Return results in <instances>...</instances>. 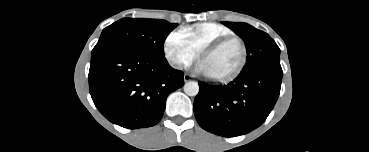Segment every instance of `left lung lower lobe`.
<instances>
[{
	"label": "left lung lower lobe",
	"instance_id": "0a47b994",
	"mask_svg": "<svg viewBox=\"0 0 369 152\" xmlns=\"http://www.w3.org/2000/svg\"><path fill=\"white\" fill-rule=\"evenodd\" d=\"M282 71H259L238 76L227 85L199 83L194 114L199 125L213 134L234 137L259 127L280 94Z\"/></svg>",
	"mask_w": 369,
	"mask_h": 152
}]
</instances>
